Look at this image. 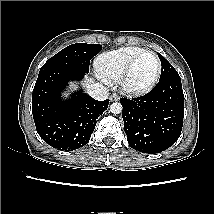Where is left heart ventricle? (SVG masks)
I'll list each match as a JSON object with an SVG mask.
<instances>
[{"instance_id":"1","label":"left heart ventricle","mask_w":214,"mask_h":214,"mask_svg":"<svg viewBox=\"0 0 214 214\" xmlns=\"http://www.w3.org/2000/svg\"><path fill=\"white\" fill-rule=\"evenodd\" d=\"M157 70V62L154 56L150 54L144 55L135 65L131 76L130 85L141 87L148 84L155 76Z\"/></svg>"}]
</instances>
